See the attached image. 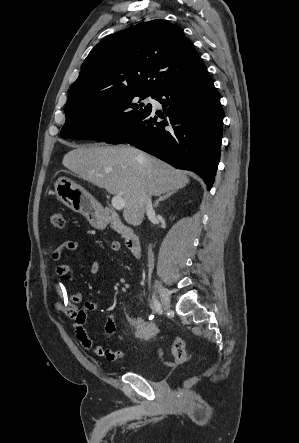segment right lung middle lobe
<instances>
[{
  "label": "right lung middle lobe",
  "mask_w": 299,
  "mask_h": 443,
  "mask_svg": "<svg viewBox=\"0 0 299 443\" xmlns=\"http://www.w3.org/2000/svg\"><path fill=\"white\" fill-rule=\"evenodd\" d=\"M154 94L120 92L101 95L66 105V122L61 130L63 138L106 141L119 133L127 124L151 108V104L137 102Z\"/></svg>",
  "instance_id": "obj_1"
}]
</instances>
